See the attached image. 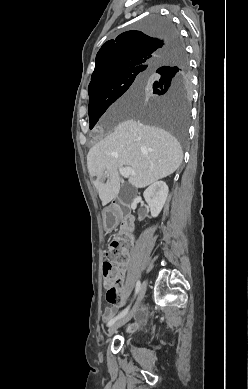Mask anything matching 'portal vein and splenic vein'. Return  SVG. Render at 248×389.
Masks as SVG:
<instances>
[{
    "mask_svg": "<svg viewBox=\"0 0 248 389\" xmlns=\"http://www.w3.org/2000/svg\"><path fill=\"white\" fill-rule=\"evenodd\" d=\"M119 172L123 177L135 175V172L133 171V169L131 167H120ZM105 173H107V172H105Z\"/></svg>",
    "mask_w": 248,
    "mask_h": 389,
    "instance_id": "1",
    "label": "portal vein and splenic vein"
}]
</instances>
